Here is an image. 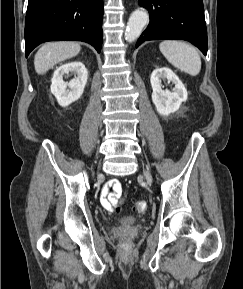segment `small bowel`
<instances>
[{"label": "small bowel", "mask_w": 243, "mask_h": 289, "mask_svg": "<svg viewBox=\"0 0 243 289\" xmlns=\"http://www.w3.org/2000/svg\"><path fill=\"white\" fill-rule=\"evenodd\" d=\"M123 201L124 190L121 183L117 179L110 180L102 191L100 200L102 206L111 211L116 205H120Z\"/></svg>", "instance_id": "obj_1"}]
</instances>
